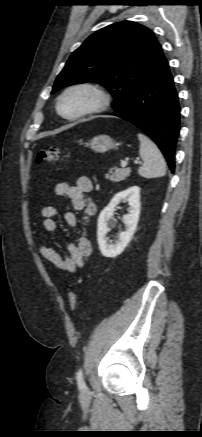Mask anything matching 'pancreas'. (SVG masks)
I'll use <instances>...</instances> for the list:
<instances>
[{
    "instance_id": "obj_1",
    "label": "pancreas",
    "mask_w": 202,
    "mask_h": 437,
    "mask_svg": "<svg viewBox=\"0 0 202 437\" xmlns=\"http://www.w3.org/2000/svg\"><path fill=\"white\" fill-rule=\"evenodd\" d=\"M130 172L129 168H111L109 173L105 174V178L113 182H119L125 180L130 175Z\"/></svg>"
}]
</instances>
